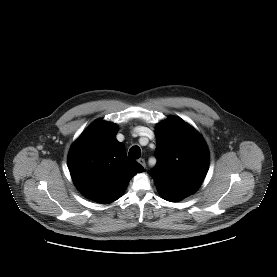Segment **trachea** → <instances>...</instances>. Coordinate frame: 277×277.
Segmentation results:
<instances>
[{"label":"trachea","mask_w":277,"mask_h":277,"mask_svg":"<svg viewBox=\"0 0 277 277\" xmlns=\"http://www.w3.org/2000/svg\"><path fill=\"white\" fill-rule=\"evenodd\" d=\"M128 155L130 158L138 159L141 156V149L138 146H133L130 148Z\"/></svg>","instance_id":"obj_1"}]
</instances>
